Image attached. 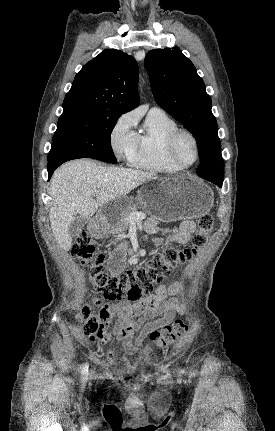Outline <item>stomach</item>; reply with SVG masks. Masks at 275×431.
Segmentation results:
<instances>
[{
    "instance_id": "obj_1",
    "label": "stomach",
    "mask_w": 275,
    "mask_h": 431,
    "mask_svg": "<svg viewBox=\"0 0 275 431\" xmlns=\"http://www.w3.org/2000/svg\"><path fill=\"white\" fill-rule=\"evenodd\" d=\"M137 198L152 216L166 222L204 216L210 212L214 202L211 189L185 176L157 179L155 188H141ZM129 205V199L119 198L103 208L99 221L92 225L93 235L103 238L111 233L119 213Z\"/></svg>"
}]
</instances>
